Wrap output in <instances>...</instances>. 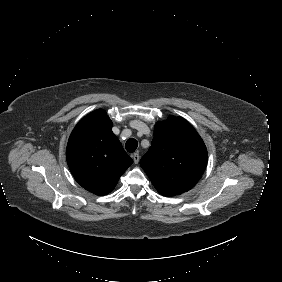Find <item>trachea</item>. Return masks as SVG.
<instances>
[{"instance_id":"obj_1","label":"trachea","mask_w":282,"mask_h":282,"mask_svg":"<svg viewBox=\"0 0 282 282\" xmlns=\"http://www.w3.org/2000/svg\"><path fill=\"white\" fill-rule=\"evenodd\" d=\"M138 147V142L136 139H129L125 144V148L129 153H133Z\"/></svg>"}]
</instances>
